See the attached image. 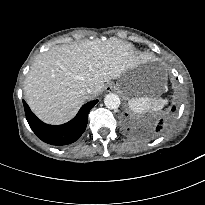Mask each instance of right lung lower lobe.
Returning <instances> with one entry per match:
<instances>
[{
    "label": "right lung lower lobe",
    "instance_id": "obj_1",
    "mask_svg": "<svg viewBox=\"0 0 205 205\" xmlns=\"http://www.w3.org/2000/svg\"><path fill=\"white\" fill-rule=\"evenodd\" d=\"M98 102L94 100L83 105L74 119L63 125H47L40 121L23 101L26 119L38 138L51 145H67L75 142L83 134L87 122L88 113Z\"/></svg>",
    "mask_w": 205,
    "mask_h": 205
}]
</instances>
